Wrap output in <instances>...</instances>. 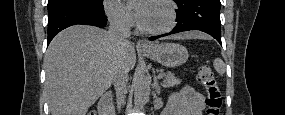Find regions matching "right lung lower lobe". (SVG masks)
<instances>
[{"label": "right lung lower lobe", "instance_id": "right-lung-lower-lobe-1", "mask_svg": "<svg viewBox=\"0 0 285 115\" xmlns=\"http://www.w3.org/2000/svg\"><path fill=\"white\" fill-rule=\"evenodd\" d=\"M107 19L104 9L94 10L81 6H67L48 13V41L61 30L75 24L93 25L103 28Z\"/></svg>", "mask_w": 285, "mask_h": 115}]
</instances>
